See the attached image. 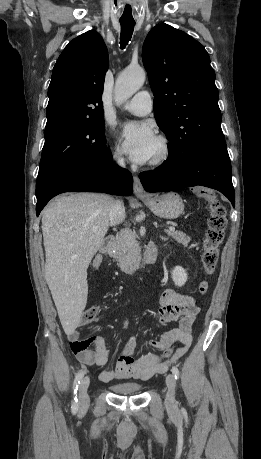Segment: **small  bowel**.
Wrapping results in <instances>:
<instances>
[{
    "label": "small bowel",
    "instance_id": "c3829d8e",
    "mask_svg": "<svg viewBox=\"0 0 261 459\" xmlns=\"http://www.w3.org/2000/svg\"><path fill=\"white\" fill-rule=\"evenodd\" d=\"M102 263V257L96 256L93 260V267L97 268ZM199 313V307L193 296L178 293L172 289H165L160 297V308L156 315V324L164 327L170 322H178V327L163 332L159 337L150 343L152 351L135 358L137 341L134 336L126 341L122 354L111 370H104L100 373V380L109 382L118 379H146L157 370H165L168 365L178 360L189 349L192 336L191 326ZM129 322H124V328L128 329ZM67 337L71 349L77 359L85 366H104L108 362V350L105 340L100 336H92L81 339L77 329H69ZM180 341L182 346L178 348L174 356L166 363L159 364V356L156 351H162Z\"/></svg>",
    "mask_w": 261,
    "mask_h": 459
}]
</instances>
